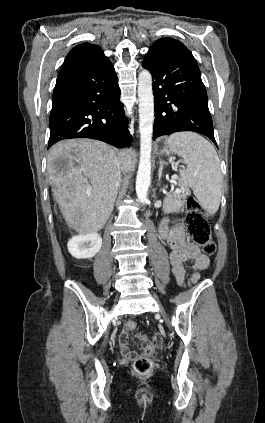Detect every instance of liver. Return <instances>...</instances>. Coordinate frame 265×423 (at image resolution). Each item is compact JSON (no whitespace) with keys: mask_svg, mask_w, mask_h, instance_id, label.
Wrapping results in <instances>:
<instances>
[{"mask_svg":"<svg viewBox=\"0 0 265 423\" xmlns=\"http://www.w3.org/2000/svg\"><path fill=\"white\" fill-rule=\"evenodd\" d=\"M134 156L132 151L117 154L111 146L92 139H67L50 148L48 179L69 227L80 235L103 228L117 196L119 166L123 163L131 170Z\"/></svg>","mask_w":265,"mask_h":423,"instance_id":"6515ba94","label":"liver"}]
</instances>
